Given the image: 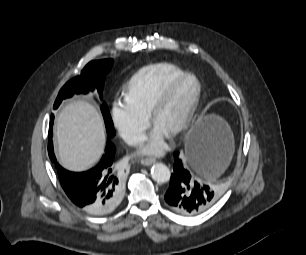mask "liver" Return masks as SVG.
Returning <instances> with one entry per match:
<instances>
[{
    "label": "liver",
    "mask_w": 306,
    "mask_h": 255,
    "mask_svg": "<svg viewBox=\"0 0 306 255\" xmlns=\"http://www.w3.org/2000/svg\"><path fill=\"white\" fill-rule=\"evenodd\" d=\"M55 136L59 162L67 170H87L97 164L104 153L103 120L96 108L86 101H73L63 108Z\"/></svg>",
    "instance_id": "1"
}]
</instances>
